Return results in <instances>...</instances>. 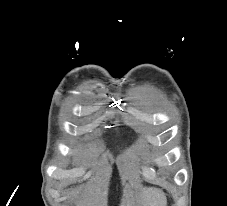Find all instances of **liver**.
I'll list each match as a JSON object with an SVG mask.
<instances>
[{
	"instance_id": "obj_1",
	"label": "liver",
	"mask_w": 227,
	"mask_h": 206,
	"mask_svg": "<svg viewBox=\"0 0 227 206\" xmlns=\"http://www.w3.org/2000/svg\"><path fill=\"white\" fill-rule=\"evenodd\" d=\"M143 206H164L166 197L164 193L155 188H145L139 194Z\"/></svg>"
}]
</instances>
